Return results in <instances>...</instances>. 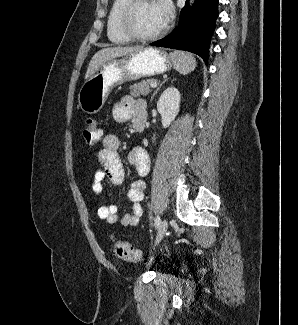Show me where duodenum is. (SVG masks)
<instances>
[{
  "label": "duodenum",
  "instance_id": "1",
  "mask_svg": "<svg viewBox=\"0 0 298 325\" xmlns=\"http://www.w3.org/2000/svg\"><path fill=\"white\" fill-rule=\"evenodd\" d=\"M133 119L135 128L138 131H143L147 121V105L145 102H138L133 110Z\"/></svg>",
  "mask_w": 298,
  "mask_h": 325
}]
</instances>
